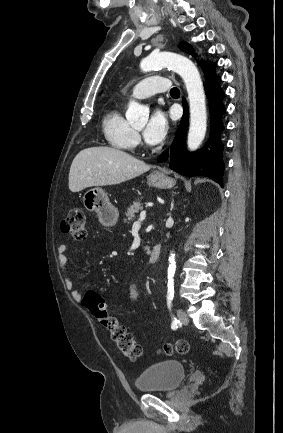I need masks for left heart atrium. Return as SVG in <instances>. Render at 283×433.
Instances as JSON below:
<instances>
[{
    "instance_id": "left-heart-atrium-1",
    "label": "left heart atrium",
    "mask_w": 283,
    "mask_h": 433,
    "mask_svg": "<svg viewBox=\"0 0 283 433\" xmlns=\"http://www.w3.org/2000/svg\"><path fill=\"white\" fill-rule=\"evenodd\" d=\"M169 129V121L163 108L156 106L143 132L148 147L157 148L166 139Z\"/></svg>"
}]
</instances>
